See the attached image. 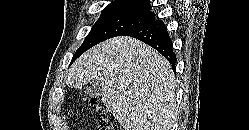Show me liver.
<instances>
[{
	"mask_svg": "<svg viewBox=\"0 0 249 130\" xmlns=\"http://www.w3.org/2000/svg\"><path fill=\"white\" fill-rule=\"evenodd\" d=\"M98 81L102 102L124 130H171L176 119V80L155 49L121 36L96 45L71 66L67 84Z\"/></svg>",
	"mask_w": 249,
	"mask_h": 130,
	"instance_id": "liver-1",
	"label": "liver"
}]
</instances>
